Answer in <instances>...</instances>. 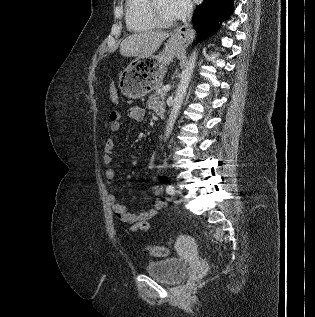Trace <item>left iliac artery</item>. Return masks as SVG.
Instances as JSON below:
<instances>
[{"label":"left iliac artery","instance_id":"obj_1","mask_svg":"<svg viewBox=\"0 0 315 317\" xmlns=\"http://www.w3.org/2000/svg\"><path fill=\"white\" fill-rule=\"evenodd\" d=\"M166 192H167L168 194H173V193H174V186H173V185H168V186L166 187Z\"/></svg>","mask_w":315,"mask_h":317}]
</instances>
